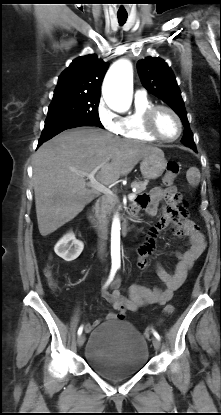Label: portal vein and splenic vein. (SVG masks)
I'll return each mask as SVG.
<instances>
[{"label": "portal vein and splenic vein", "mask_w": 221, "mask_h": 415, "mask_svg": "<svg viewBox=\"0 0 221 415\" xmlns=\"http://www.w3.org/2000/svg\"><path fill=\"white\" fill-rule=\"evenodd\" d=\"M102 166V165H101ZM101 166H99V167H97L96 169H94L91 173H89V174H86V173H82L83 175H85L86 177H88L89 179H90V183L88 184L89 186H91L93 189H95V190H97V191H99V192H102V193H104V194H110V195H112L113 194V192L109 189V188H107L105 185H103V184H101L100 182H98L95 178H94V175H95V173L99 170V168L101 167ZM135 197V194L134 193H130V194H128V198L129 199H133Z\"/></svg>", "instance_id": "portal-vein-and-splenic-vein-1"}]
</instances>
